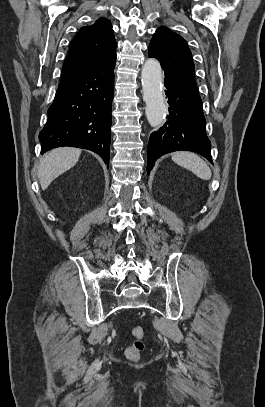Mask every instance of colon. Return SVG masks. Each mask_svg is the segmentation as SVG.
Returning a JSON list of instances; mask_svg holds the SVG:
<instances>
[{
  "instance_id": "5ec220e1",
  "label": "colon",
  "mask_w": 265,
  "mask_h": 407,
  "mask_svg": "<svg viewBox=\"0 0 265 407\" xmlns=\"http://www.w3.org/2000/svg\"><path fill=\"white\" fill-rule=\"evenodd\" d=\"M146 332L142 325H137L132 329L133 342L125 349V355L130 360H137L145 349Z\"/></svg>"
}]
</instances>
